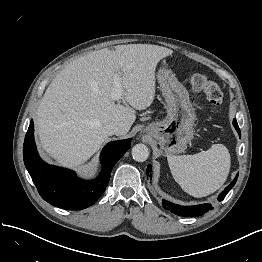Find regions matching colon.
Segmentation results:
<instances>
[{"mask_svg":"<svg viewBox=\"0 0 262 262\" xmlns=\"http://www.w3.org/2000/svg\"><path fill=\"white\" fill-rule=\"evenodd\" d=\"M189 83L192 88L205 92L208 102L214 108H218L223 100V92L219 85L208 78L202 73H192L188 77Z\"/></svg>","mask_w":262,"mask_h":262,"instance_id":"1","label":"colon"}]
</instances>
